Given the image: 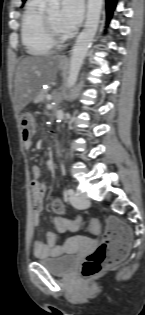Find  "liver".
Returning a JSON list of instances; mask_svg holds the SVG:
<instances>
[{
	"label": "liver",
	"instance_id": "liver-1",
	"mask_svg": "<svg viewBox=\"0 0 145 315\" xmlns=\"http://www.w3.org/2000/svg\"><path fill=\"white\" fill-rule=\"evenodd\" d=\"M60 55L24 57L18 64L14 81V111L20 112L35 100L45 84L56 79Z\"/></svg>",
	"mask_w": 145,
	"mask_h": 315
}]
</instances>
